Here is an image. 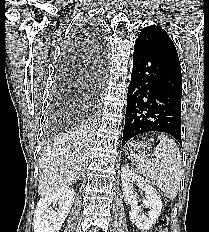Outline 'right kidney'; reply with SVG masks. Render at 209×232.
<instances>
[{"mask_svg": "<svg viewBox=\"0 0 209 232\" xmlns=\"http://www.w3.org/2000/svg\"><path fill=\"white\" fill-rule=\"evenodd\" d=\"M75 197L76 193L70 187L60 188L42 197L34 211V232H59Z\"/></svg>", "mask_w": 209, "mask_h": 232, "instance_id": "right-kidney-1", "label": "right kidney"}]
</instances>
